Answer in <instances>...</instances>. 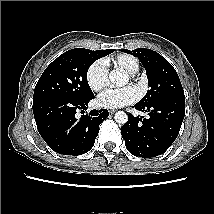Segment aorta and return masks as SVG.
I'll use <instances>...</instances> for the list:
<instances>
[{
  "label": "aorta",
  "instance_id": "obj_1",
  "mask_svg": "<svg viewBox=\"0 0 214 214\" xmlns=\"http://www.w3.org/2000/svg\"><path fill=\"white\" fill-rule=\"evenodd\" d=\"M109 79L111 83L115 86H123L126 83L124 75L117 70H112L110 72ZM114 119L119 124H125L128 121V116L125 112L118 111L115 113Z\"/></svg>",
  "mask_w": 214,
  "mask_h": 214
}]
</instances>
